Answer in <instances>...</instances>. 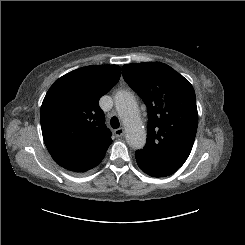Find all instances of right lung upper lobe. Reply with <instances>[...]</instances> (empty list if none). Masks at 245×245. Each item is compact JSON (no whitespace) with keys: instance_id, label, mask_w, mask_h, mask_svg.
Segmentation results:
<instances>
[{"instance_id":"obj_1","label":"right lung upper lobe","mask_w":245,"mask_h":245,"mask_svg":"<svg viewBox=\"0 0 245 245\" xmlns=\"http://www.w3.org/2000/svg\"><path fill=\"white\" fill-rule=\"evenodd\" d=\"M117 65L87 66L60 77L48 90L40 111L45 145L65 169L91 168L111 144L99 99L117 84Z\"/></svg>"}]
</instances>
